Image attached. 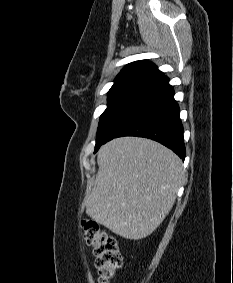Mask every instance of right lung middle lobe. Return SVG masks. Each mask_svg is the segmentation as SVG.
<instances>
[{"label":"right lung middle lobe","mask_w":233,"mask_h":283,"mask_svg":"<svg viewBox=\"0 0 233 283\" xmlns=\"http://www.w3.org/2000/svg\"><path fill=\"white\" fill-rule=\"evenodd\" d=\"M150 83L149 81H131L111 87L107 94V109L100 116L95 152L103 144L110 130Z\"/></svg>","instance_id":"1"}]
</instances>
